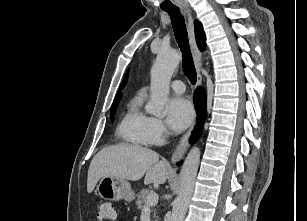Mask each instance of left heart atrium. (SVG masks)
<instances>
[{
    "label": "left heart atrium",
    "mask_w": 307,
    "mask_h": 221,
    "mask_svg": "<svg viewBox=\"0 0 307 221\" xmlns=\"http://www.w3.org/2000/svg\"><path fill=\"white\" fill-rule=\"evenodd\" d=\"M193 109L188 100L175 97L167 105V123L172 131H184L192 122Z\"/></svg>",
    "instance_id": "1"
}]
</instances>
